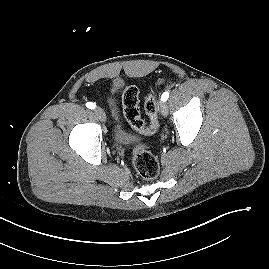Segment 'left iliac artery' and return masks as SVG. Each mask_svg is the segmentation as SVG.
Masks as SVG:
<instances>
[{
	"label": "left iliac artery",
	"mask_w": 269,
	"mask_h": 269,
	"mask_svg": "<svg viewBox=\"0 0 269 269\" xmlns=\"http://www.w3.org/2000/svg\"><path fill=\"white\" fill-rule=\"evenodd\" d=\"M168 97H169V92L165 91L161 96V100L162 101H167Z\"/></svg>",
	"instance_id": "obj_1"
}]
</instances>
